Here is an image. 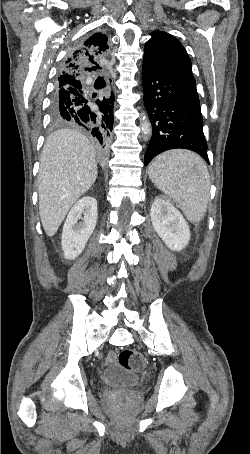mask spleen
I'll use <instances>...</instances> for the list:
<instances>
[{
	"label": "spleen",
	"mask_w": 250,
	"mask_h": 454,
	"mask_svg": "<svg viewBox=\"0 0 250 454\" xmlns=\"http://www.w3.org/2000/svg\"><path fill=\"white\" fill-rule=\"evenodd\" d=\"M148 173L154 185L171 197L185 216L199 222L205 216L209 200V172L195 153L172 150L158 155Z\"/></svg>",
	"instance_id": "obj_1"
}]
</instances>
